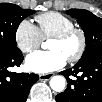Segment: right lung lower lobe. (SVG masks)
<instances>
[{
    "label": "right lung lower lobe",
    "mask_w": 102,
    "mask_h": 102,
    "mask_svg": "<svg viewBox=\"0 0 102 102\" xmlns=\"http://www.w3.org/2000/svg\"><path fill=\"white\" fill-rule=\"evenodd\" d=\"M23 54L0 52V101L25 102L31 86L39 79L37 74L9 72V67L20 66Z\"/></svg>",
    "instance_id": "1"
}]
</instances>
